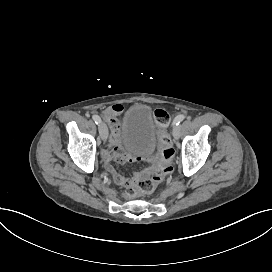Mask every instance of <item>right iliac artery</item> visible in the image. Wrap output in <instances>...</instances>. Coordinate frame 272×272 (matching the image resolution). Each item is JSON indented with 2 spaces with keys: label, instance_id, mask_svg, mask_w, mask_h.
Masks as SVG:
<instances>
[{
  "label": "right iliac artery",
  "instance_id": "82829eb1",
  "mask_svg": "<svg viewBox=\"0 0 272 272\" xmlns=\"http://www.w3.org/2000/svg\"><path fill=\"white\" fill-rule=\"evenodd\" d=\"M92 118L97 125L101 123V118L99 116L93 115Z\"/></svg>",
  "mask_w": 272,
  "mask_h": 272
}]
</instances>
